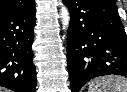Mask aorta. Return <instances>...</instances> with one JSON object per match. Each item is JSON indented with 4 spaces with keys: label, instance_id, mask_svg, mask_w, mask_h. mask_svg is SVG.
Listing matches in <instances>:
<instances>
[{
    "label": "aorta",
    "instance_id": "1",
    "mask_svg": "<svg viewBox=\"0 0 127 92\" xmlns=\"http://www.w3.org/2000/svg\"><path fill=\"white\" fill-rule=\"evenodd\" d=\"M61 18H62L63 29H67L69 26L70 16L67 8L63 5L61 8Z\"/></svg>",
    "mask_w": 127,
    "mask_h": 92
}]
</instances>
